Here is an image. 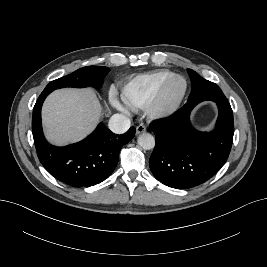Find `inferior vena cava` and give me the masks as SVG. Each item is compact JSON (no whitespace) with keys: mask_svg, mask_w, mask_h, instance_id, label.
<instances>
[{"mask_svg":"<svg viewBox=\"0 0 267 267\" xmlns=\"http://www.w3.org/2000/svg\"><path fill=\"white\" fill-rule=\"evenodd\" d=\"M108 126L112 132L123 134L129 129L130 120L123 114H114L111 116Z\"/></svg>","mask_w":267,"mask_h":267,"instance_id":"1","label":"inferior vena cava"}]
</instances>
